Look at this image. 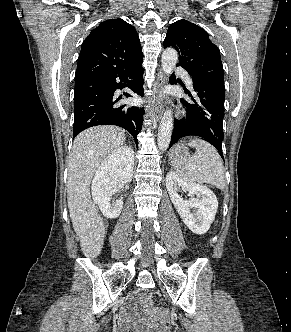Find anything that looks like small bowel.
<instances>
[{
	"label": "small bowel",
	"mask_w": 291,
	"mask_h": 332,
	"mask_svg": "<svg viewBox=\"0 0 291 332\" xmlns=\"http://www.w3.org/2000/svg\"><path fill=\"white\" fill-rule=\"evenodd\" d=\"M144 299V298H143ZM143 299L141 300L143 303ZM167 318L166 312H162L161 309H146V316L142 320V325L147 328H152L158 326L160 323L164 322ZM126 326L130 327L131 323L126 322Z\"/></svg>",
	"instance_id": "obj_1"
}]
</instances>
